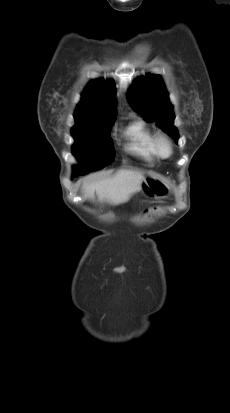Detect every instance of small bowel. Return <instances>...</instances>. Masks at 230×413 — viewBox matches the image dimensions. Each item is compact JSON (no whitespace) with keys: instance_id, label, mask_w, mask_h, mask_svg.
Listing matches in <instances>:
<instances>
[{"instance_id":"small-bowel-1","label":"small bowel","mask_w":230,"mask_h":413,"mask_svg":"<svg viewBox=\"0 0 230 413\" xmlns=\"http://www.w3.org/2000/svg\"><path fill=\"white\" fill-rule=\"evenodd\" d=\"M158 208L154 207L153 205H147L145 207V211L143 212L144 216H147L148 214H153L154 212H157Z\"/></svg>"}]
</instances>
